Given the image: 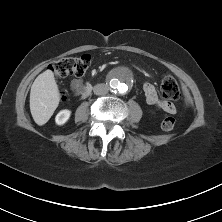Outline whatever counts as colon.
I'll use <instances>...</instances> for the list:
<instances>
[{
    "label": "colon",
    "mask_w": 222,
    "mask_h": 222,
    "mask_svg": "<svg viewBox=\"0 0 222 222\" xmlns=\"http://www.w3.org/2000/svg\"><path fill=\"white\" fill-rule=\"evenodd\" d=\"M91 65V57L87 54L78 57H65L58 59L51 63L50 70L55 76L59 78L67 76H83ZM161 92L166 99H177L180 95V87L176 79L166 74L161 83ZM64 98V94H62ZM176 120L174 117H166L162 122L164 130H171L174 128Z\"/></svg>",
    "instance_id": "5ec220e1"
}]
</instances>
